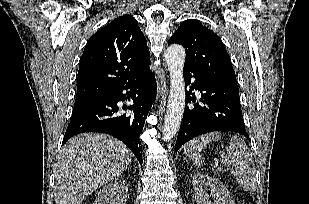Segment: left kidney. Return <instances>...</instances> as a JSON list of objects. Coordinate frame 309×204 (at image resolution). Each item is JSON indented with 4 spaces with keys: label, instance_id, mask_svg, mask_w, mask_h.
<instances>
[{
    "label": "left kidney",
    "instance_id": "left-kidney-1",
    "mask_svg": "<svg viewBox=\"0 0 309 204\" xmlns=\"http://www.w3.org/2000/svg\"><path fill=\"white\" fill-rule=\"evenodd\" d=\"M193 187L197 204H235L227 188L219 179L197 173L193 176ZM210 188L216 200L211 202L206 188Z\"/></svg>",
    "mask_w": 309,
    "mask_h": 204
}]
</instances>
